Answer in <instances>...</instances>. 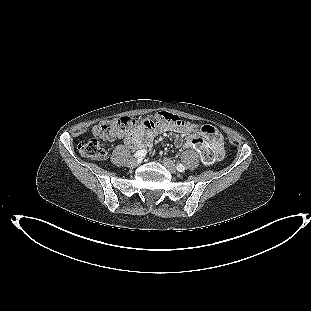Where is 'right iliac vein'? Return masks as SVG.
<instances>
[{
	"label": "right iliac vein",
	"instance_id": "right-iliac-vein-1",
	"mask_svg": "<svg viewBox=\"0 0 311 311\" xmlns=\"http://www.w3.org/2000/svg\"><path fill=\"white\" fill-rule=\"evenodd\" d=\"M138 165V160L137 159H131L128 163V166L130 168H135Z\"/></svg>",
	"mask_w": 311,
	"mask_h": 311
}]
</instances>
